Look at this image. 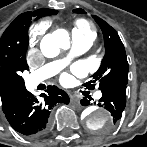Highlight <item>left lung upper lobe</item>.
Wrapping results in <instances>:
<instances>
[{
    "mask_svg": "<svg viewBox=\"0 0 147 147\" xmlns=\"http://www.w3.org/2000/svg\"><path fill=\"white\" fill-rule=\"evenodd\" d=\"M75 13H85L83 9H74ZM100 26L105 45V56L98 71L91 81L83 84L88 89H93L99 83L102 90L108 86L128 83V62L124 45L114 28L97 16H93Z\"/></svg>",
    "mask_w": 147,
    "mask_h": 147,
    "instance_id": "obj_1",
    "label": "left lung upper lobe"
}]
</instances>
